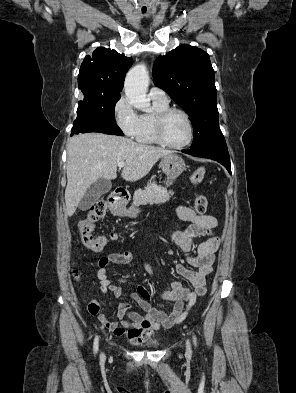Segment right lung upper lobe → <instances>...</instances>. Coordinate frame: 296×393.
I'll return each instance as SVG.
<instances>
[{"instance_id": "obj_1", "label": "right lung upper lobe", "mask_w": 296, "mask_h": 393, "mask_svg": "<svg viewBox=\"0 0 296 393\" xmlns=\"http://www.w3.org/2000/svg\"><path fill=\"white\" fill-rule=\"evenodd\" d=\"M133 63L115 50L97 48L80 67L78 86L84 96L120 95L126 72Z\"/></svg>"}]
</instances>
